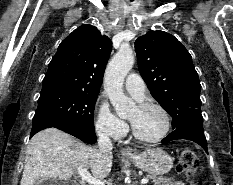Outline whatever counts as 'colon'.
Wrapping results in <instances>:
<instances>
[{"instance_id":"5ec220e1","label":"colon","mask_w":233,"mask_h":185,"mask_svg":"<svg viewBox=\"0 0 233 185\" xmlns=\"http://www.w3.org/2000/svg\"><path fill=\"white\" fill-rule=\"evenodd\" d=\"M198 167V158L195 151L191 148H184L179 156L177 171L186 178L191 179Z\"/></svg>"}]
</instances>
